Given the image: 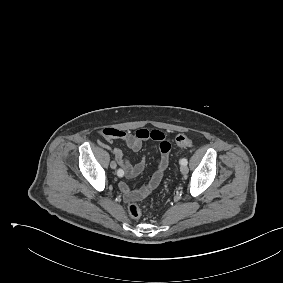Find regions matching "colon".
<instances>
[{"label":"colon","instance_id":"1","mask_svg":"<svg viewBox=\"0 0 283 283\" xmlns=\"http://www.w3.org/2000/svg\"><path fill=\"white\" fill-rule=\"evenodd\" d=\"M176 144L179 147H192L193 146L192 140L183 134H179L176 137ZM127 211H128V214L133 218H139L141 216L140 207L134 202L128 205Z\"/></svg>","mask_w":283,"mask_h":283}]
</instances>
